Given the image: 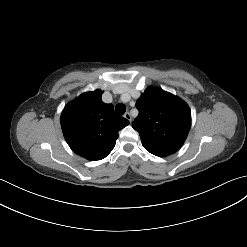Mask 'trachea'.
<instances>
[{
    "instance_id": "obj_1",
    "label": "trachea",
    "mask_w": 247,
    "mask_h": 247,
    "mask_svg": "<svg viewBox=\"0 0 247 247\" xmlns=\"http://www.w3.org/2000/svg\"><path fill=\"white\" fill-rule=\"evenodd\" d=\"M115 110L117 114L123 115L126 111V106L124 104L119 103L116 105Z\"/></svg>"
}]
</instances>
